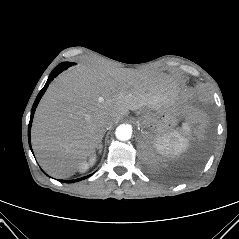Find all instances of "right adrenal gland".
<instances>
[{
    "instance_id": "1",
    "label": "right adrenal gland",
    "mask_w": 239,
    "mask_h": 239,
    "mask_svg": "<svg viewBox=\"0 0 239 239\" xmlns=\"http://www.w3.org/2000/svg\"><path fill=\"white\" fill-rule=\"evenodd\" d=\"M98 150H99V152L98 153H101V151H102V141L99 143V145H98Z\"/></svg>"
}]
</instances>
